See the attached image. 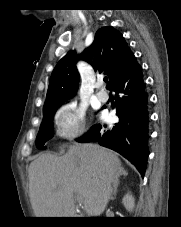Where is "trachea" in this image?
<instances>
[{
  "label": "trachea",
  "mask_w": 181,
  "mask_h": 227,
  "mask_svg": "<svg viewBox=\"0 0 181 227\" xmlns=\"http://www.w3.org/2000/svg\"><path fill=\"white\" fill-rule=\"evenodd\" d=\"M107 81H108V78H107V77H105V78H104V82H107Z\"/></svg>",
  "instance_id": "1"
}]
</instances>
